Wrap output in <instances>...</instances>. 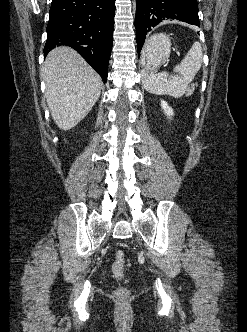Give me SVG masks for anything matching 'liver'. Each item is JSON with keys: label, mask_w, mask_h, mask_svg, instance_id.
Returning <instances> with one entry per match:
<instances>
[{"label": "liver", "mask_w": 247, "mask_h": 332, "mask_svg": "<svg viewBox=\"0 0 247 332\" xmlns=\"http://www.w3.org/2000/svg\"><path fill=\"white\" fill-rule=\"evenodd\" d=\"M51 116L62 130L75 127L98 100L101 77L70 47H56L42 68Z\"/></svg>", "instance_id": "6515ba94"}]
</instances>
